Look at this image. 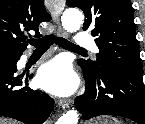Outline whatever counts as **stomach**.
Listing matches in <instances>:
<instances>
[{"label":"stomach","mask_w":145,"mask_h":124,"mask_svg":"<svg viewBox=\"0 0 145 124\" xmlns=\"http://www.w3.org/2000/svg\"><path fill=\"white\" fill-rule=\"evenodd\" d=\"M87 124H121V123L114 118L101 117V118L95 120L93 123H87Z\"/></svg>","instance_id":"0dacf381"}]
</instances>
